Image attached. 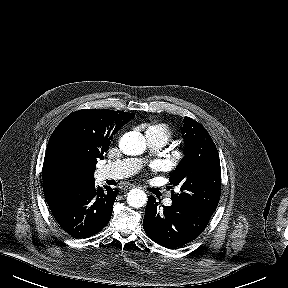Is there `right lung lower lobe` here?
<instances>
[{
  "mask_svg": "<svg viewBox=\"0 0 288 288\" xmlns=\"http://www.w3.org/2000/svg\"><path fill=\"white\" fill-rule=\"evenodd\" d=\"M117 194L116 188L103 189L92 182L45 199L64 231L75 238H87L109 223Z\"/></svg>",
  "mask_w": 288,
  "mask_h": 288,
  "instance_id": "98d812e1",
  "label": "right lung lower lobe"
}]
</instances>
